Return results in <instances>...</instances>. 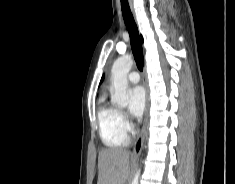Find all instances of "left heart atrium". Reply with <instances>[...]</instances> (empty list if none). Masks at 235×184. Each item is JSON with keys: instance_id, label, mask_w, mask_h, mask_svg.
Listing matches in <instances>:
<instances>
[{"instance_id": "1", "label": "left heart atrium", "mask_w": 235, "mask_h": 184, "mask_svg": "<svg viewBox=\"0 0 235 184\" xmlns=\"http://www.w3.org/2000/svg\"><path fill=\"white\" fill-rule=\"evenodd\" d=\"M146 95L141 87H135L130 91L129 112L135 119L140 118L145 109Z\"/></svg>"}]
</instances>
